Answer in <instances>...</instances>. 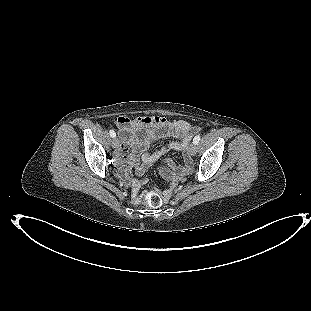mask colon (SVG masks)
I'll use <instances>...</instances> for the list:
<instances>
[{"mask_svg": "<svg viewBox=\"0 0 311 311\" xmlns=\"http://www.w3.org/2000/svg\"><path fill=\"white\" fill-rule=\"evenodd\" d=\"M144 202L150 207H159L163 203V198L155 191H147L144 194Z\"/></svg>", "mask_w": 311, "mask_h": 311, "instance_id": "colon-1", "label": "colon"}]
</instances>
